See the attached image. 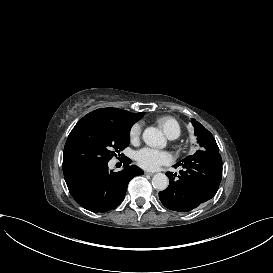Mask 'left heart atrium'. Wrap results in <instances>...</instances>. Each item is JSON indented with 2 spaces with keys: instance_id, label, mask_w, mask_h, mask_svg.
Masks as SVG:
<instances>
[{
  "instance_id": "obj_1",
  "label": "left heart atrium",
  "mask_w": 273,
  "mask_h": 273,
  "mask_svg": "<svg viewBox=\"0 0 273 273\" xmlns=\"http://www.w3.org/2000/svg\"><path fill=\"white\" fill-rule=\"evenodd\" d=\"M170 155L167 152L145 147L138 151V164L146 169H156L160 165L169 162Z\"/></svg>"
}]
</instances>
